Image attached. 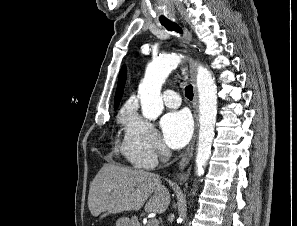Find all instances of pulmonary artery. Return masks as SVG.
<instances>
[{
  "instance_id": "1",
  "label": "pulmonary artery",
  "mask_w": 297,
  "mask_h": 226,
  "mask_svg": "<svg viewBox=\"0 0 297 226\" xmlns=\"http://www.w3.org/2000/svg\"><path fill=\"white\" fill-rule=\"evenodd\" d=\"M163 101L167 107L176 108L181 104V99L178 93L174 90H166L163 93Z\"/></svg>"
}]
</instances>
